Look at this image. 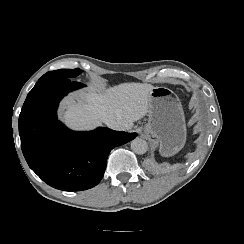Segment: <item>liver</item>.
Masks as SVG:
<instances>
[{
    "mask_svg": "<svg viewBox=\"0 0 244 244\" xmlns=\"http://www.w3.org/2000/svg\"><path fill=\"white\" fill-rule=\"evenodd\" d=\"M154 88L147 83H122L105 93L80 90L66 97L59 108V118L72 129H92L102 124L103 118L119 122L125 130L148 112L149 92Z\"/></svg>",
    "mask_w": 244,
    "mask_h": 244,
    "instance_id": "obj_1",
    "label": "liver"
}]
</instances>
